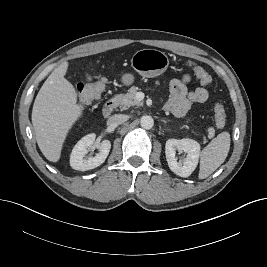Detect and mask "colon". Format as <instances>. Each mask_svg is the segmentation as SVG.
Returning a JSON list of instances; mask_svg holds the SVG:
<instances>
[{
	"label": "colon",
	"mask_w": 267,
	"mask_h": 267,
	"mask_svg": "<svg viewBox=\"0 0 267 267\" xmlns=\"http://www.w3.org/2000/svg\"><path fill=\"white\" fill-rule=\"evenodd\" d=\"M193 70L196 77L203 85H210L212 82L211 76L198 65H193ZM106 85L104 79L89 82L86 84H80L78 87V105L80 108H86L90 106L95 100H97ZM214 119L218 128H223L226 124V112L223 105L217 102L214 106Z\"/></svg>",
	"instance_id": "obj_1"
}]
</instances>
